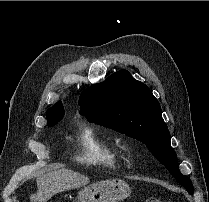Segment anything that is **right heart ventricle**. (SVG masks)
I'll use <instances>...</instances> for the list:
<instances>
[{"label": "right heart ventricle", "instance_id": "obj_1", "mask_svg": "<svg viewBox=\"0 0 209 202\" xmlns=\"http://www.w3.org/2000/svg\"><path fill=\"white\" fill-rule=\"evenodd\" d=\"M78 159L88 164L118 167L124 159L117 140L108 132L83 125L78 132Z\"/></svg>", "mask_w": 209, "mask_h": 202}]
</instances>
